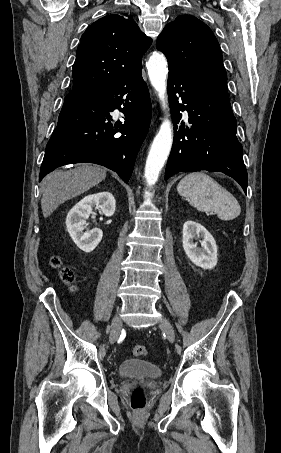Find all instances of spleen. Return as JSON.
I'll use <instances>...</instances> for the list:
<instances>
[{
    "label": "spleen",
    "instance_id": "1",
    "mask_svg": "<svg viewBox=\"0 0 281 453\" xmlns=\"http://www.w3.org/2000/svg\"><path fill=\"white\" fill-rule=\"evenodd\" d=\"M177 190L180 196L189 198L191 206L202 212H215L222 220H232L241 212L235 196L206 172L186 174L180 180Z\"/></svg>",
    "mask_w": 281,
    "mask_h": 453
}]
</instances>
